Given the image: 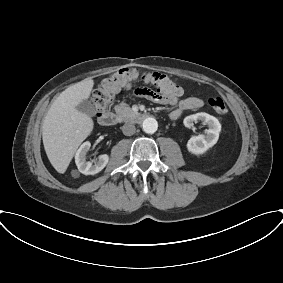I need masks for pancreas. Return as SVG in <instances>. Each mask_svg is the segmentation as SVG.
<instances>
[{"mask_svg": "<svg viewBox=\"0 0 283 283\" xmlns=\"http://www.w3.org/2000/svg\"><path fill=\"white\" fill-rule=\"evenodd\" d=\"M114 109L118 117L122 119L129 118L130 116L133 115L132 109L129 107L128 104L124 102L120 103L119 105H116Z\"/></svg>", "mask_w": 283, "mask_h": 283, "instance_id": "pancreas-1", "label": "pancreas"}]
</instances>
